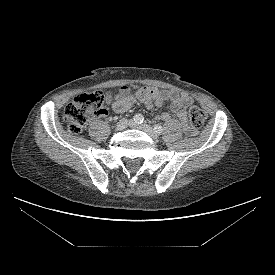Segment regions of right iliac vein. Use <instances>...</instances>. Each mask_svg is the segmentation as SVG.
<instances>
[{
    "instance_id": "63e3f726",
    "label": "right iliac vein",
    "mask_w": 275,
    "mask_h": 275,
    "mask_svg": "<svg viewBox=\"0 0 275 275\" xmlns=\"http://www.w3.org/2000/svg\"><path fill=\"white\" fill-rule=\"evenodd\" d=\"M130 123L131 122L128 119L123 118L117 123L115 130L121 131V130L125 129L128 125H130Z\"/></svg>"
}]
</instances>
